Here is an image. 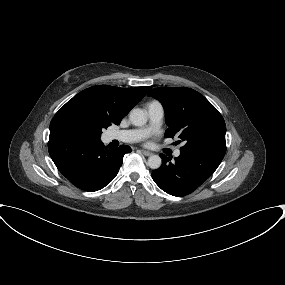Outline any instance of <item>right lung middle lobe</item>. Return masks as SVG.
<instances>
[{"instance_id": "1", "label": "right lung middle lobe", "mask_w": 285, "mask_h": 285, "mask_svg": "<svg viewBox=\"0 0 285 285\" xmlns=\"http://www.w3.org/2000/svg\"><path fill=\"white\" fill-rule=\"evenodd\" d=\"M109 125L97 121H87L83 119H71L64 124L65 132L74 134L81 139L98 142L103 128Z\"/></svg>"}]
</instances>
